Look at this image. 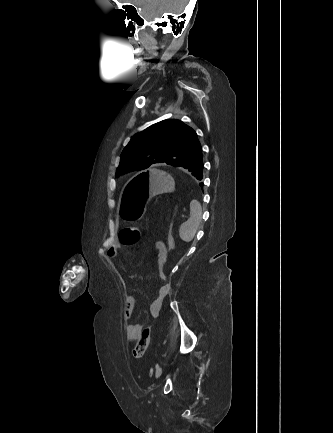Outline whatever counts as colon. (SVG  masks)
I'll use <instances>...</instances> for the list:
<instances>
[{"label":"colon","mask_w":333,"mask_h":433,"mask_svg":"<svg viewBox=\"0 0 333 433\" xmlns=\"http://www.w3.org/2000/svg\"><path fill=\"white\" fill-rule=\"evenodd\" d=\"M140 232L137 228L133 226H127L121 229L119 233V240L123 246H134L140 240ZM169 248H174V237L172 234L169 235ZM152 325L146 328L137 339V343L133 348V357L136 359H140L145 354L151 338V330H153L155 325H157V320H152ZM154 325V326H153Z\"/></svg>","instance_id":"colon-1"}]
</instances>
